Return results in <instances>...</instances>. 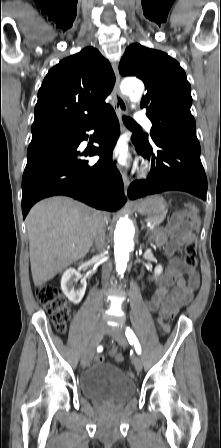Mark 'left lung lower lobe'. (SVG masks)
<instances>
[{
  "label": "left lung lower lobe",
  "mask_w": 221,
  "mask_h": 448,
  "mask_svg": "<svg viewBox=\"0 0 221 448\" xmlns=\"http://www.w3.org/2000/svg\"><path fill=\"white\" fill-rule=\"evenodd\" d=\"M154 146L134 138L137 151L151 160V171L146 180L133 182L128 189L130 199L167 190L189 192L206 200L207 178L200 160L199 142L156 136Z\"/></svg>",
  "instance_id": "0a47b994"
}]
</instances>
